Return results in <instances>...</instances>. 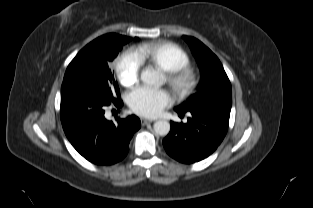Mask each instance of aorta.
Listing matches in <instances>:
<instances>
[{
    "label": "aorta",
    "instance_id": "obj_1",
    "mask_svg": "<svg viewBox=\"0 0 313 208\" xmlns=\"http://www.w3.org/2000/svg\"><path fill=\"white\" fill-rule=\"evenodd\" d=\"M141 81L148 85H160L161 75L153 68H145L140 75ZM154 131L160 136H166L170 132V123L166 120H159L154 123Z\"/></svg>",
    "mask_w": 313,
    "mask_h": 208
}]
</instances>
